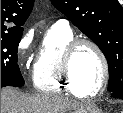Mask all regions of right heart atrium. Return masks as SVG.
I'll use <instances>...</instances> for the list:
<instances>
[{
    "mask_svg": "<svg viewBox=\"0 0 123 113\" xmlns=\"http://www.w3.org/2000/svg\"><path fill=\"white\" fill-rule=\"evenodd\" d=\"M30 44H31L30 35H26L18 42L16 48V58L19 65H22L25 62Z\"/></svg>",
    "mask_w": 123,
    "mask_h": 113,
    "instance_id": "d8ad5b80",
    "label": "right heart atrium"
}]
</instances>
